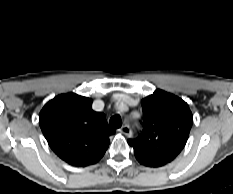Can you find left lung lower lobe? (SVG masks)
<instances>
[{
    "instance_id": "0a47b994",
    "label": "left lung lower lobe",
    "mask_w": 233,
    "mask_h": 194,
    "mask_svg": "<svg viewBox=\"0 0 233 194\" xmlns=\"http://www.w3.org/2000/svg\"><path fill=\"white\" fill-rule=\"evenodd\" d=\"M140 163L143 165H146V166H150V167H159L160 166L158 164L147 162V161H140Z\"/></svg>"
}]
</instances>
